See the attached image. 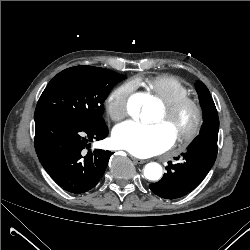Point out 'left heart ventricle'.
I'll use <instances>...</instances> for the list:
<instances>
[{"mask_svg":"<svg viewBox=\"0 0 250 250\" xmlns=\"http://www.w3.org/2000/svg\"><path fill=\"white\" fill-rule=\"evenodd\" d=\"M193 119L192 112L190 110L184 111L181 115H179L174 121L167 122L165 120L164 110L161 115L156 119V124H163L175 137L176 133L179 131L186 130L188 126L191 124Z\"/></svg>","mask_w":250,"mask_h":250,"instance_id":"left-heart-ventricle-1","label":"left heart ventricle"}]
</instances>
